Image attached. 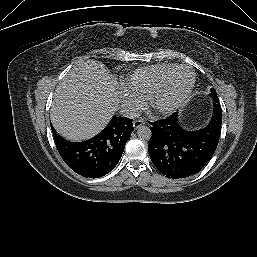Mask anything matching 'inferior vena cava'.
Wrapping results in <instances>:
<instances>
[{
	"label": "inferior vena cava",
	"mask_w": 257,
	"mask_h": 257,
	"mask_svg": "<svg viewBox=\"0 0 257 257\" xmlns=\"http://www.w3.org/2000/svg\"><path fill=\"white\" fill-rule=\"evenodd\" d=\"M120 113L122 114V116L130 119H135L140 115L139 110L136 107L130 105H122Z\"/></svg>",
	"instance_id": "obj_1"
}]
</instances>
